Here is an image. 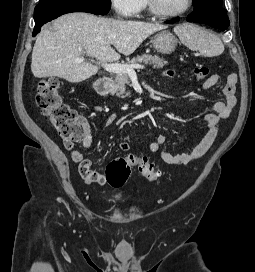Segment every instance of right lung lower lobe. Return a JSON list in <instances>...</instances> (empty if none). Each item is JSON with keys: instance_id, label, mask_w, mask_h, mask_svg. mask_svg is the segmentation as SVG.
Returning <instances> with one entry per match:
<instances>
[{"instance_id": "right-lung-lower-lobe-1", "label": "right lung lower lobe", "mask_w": 255, "mask_h": 272, "mask_svg": "<svg viewBox=\"0 0 255 272\" xmlns=\"http://www.w3.org/2000/svg\"><path fill=\"white\" fill-rule=\"evenodd\" d=\"M71 12H87L101 15L92 9L71 3H39L34 10L35 27L33 36H36L40 32L43 24Z\"/></svg>"}]
</instances>
